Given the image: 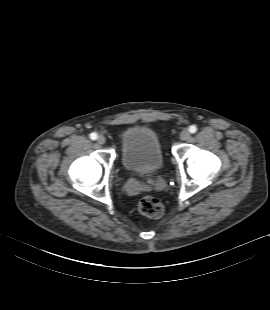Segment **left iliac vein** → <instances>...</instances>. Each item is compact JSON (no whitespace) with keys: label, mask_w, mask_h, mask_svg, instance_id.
<instances>
[{"label":"left iliac vein","mask_w":270,"mask_h":310,"mask_svg":"<svg viewBox=\"0 0 270 310\" xmlns=\"http://www.w3.org/2000/svg\"><path fill=\"white\" fill-rule=\"evenodd\" d=\"M181 140H188L190 138V132L187 129L181 131L179 135Z\"/></svg>","instance_id":"obj_1"}]
</instances>
